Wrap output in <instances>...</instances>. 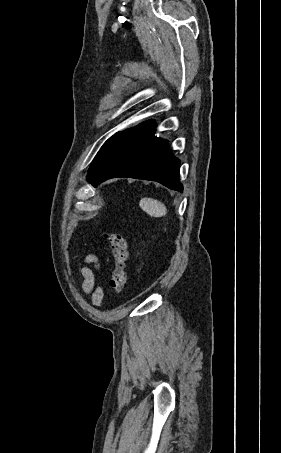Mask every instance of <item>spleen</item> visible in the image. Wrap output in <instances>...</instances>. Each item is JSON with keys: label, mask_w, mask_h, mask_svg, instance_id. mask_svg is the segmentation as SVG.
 I'll return each mask as SVG.
<instances>
[{"label": "spleen", "mask_w": 281, "mask_h": 453, "mask_svg": "<svg viewBox=\"0 0 281 453\" xmlns=\"http://www.w3.org/2000/svg\"><path fill=\"white\" fill-rule=\"evenodd\" d=\"M139 206L151 216H164V214H167L165 204H162L160 200H155V198H141Z\"/></svg>", "instance_id": "obj_1"}]
</instances>
